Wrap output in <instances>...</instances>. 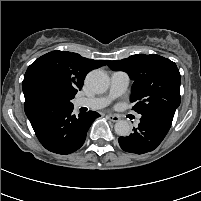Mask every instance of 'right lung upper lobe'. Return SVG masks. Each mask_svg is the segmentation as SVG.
Wrapping results in <instances>:
<instances>
[{
	"mask_svg": "<svg viewBox=\"0 0 201 201\" xmlns=\"http://www.w3.org/2000/svg\"><path fill=\"white\" fill-rule=\"evenodd\" d=\"M107 60H92L77 53L52 51L35 60L27 69L22 88L25 104L47 99L70 104L92 69L106 65Z\"/></svg>",
	"mask_w": 201,
	"mask_h": 201,
	"instance_id": "obj_1",
	"label": "right lung upper lobe"
}]
</instances>
